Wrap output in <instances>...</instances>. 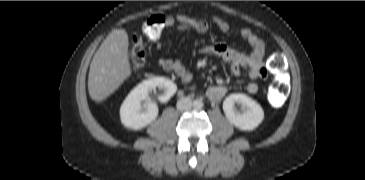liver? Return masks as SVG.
I'll return each instance as SVG.
<instances>
[{
  "instance_id": "1",
  "label": "liver",
  "mask_w": 365,
  "mask_h": 180,
  "mask_svg": "<svg viewBox=\"0 0 365 180\" xmlns=\"http://www.w3.org/2000/svg\"><path fill=\"white\" fill-rule=\"evenodd\" d=\"M128 34L113 30L100 45L90 64L88 91L96 102L106 100L131 75Z\"/></svg>"
}]
</instances>
